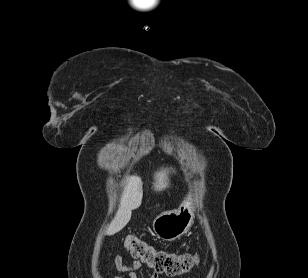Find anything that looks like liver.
Wrapping results in <instances>:
<instances>
[{
  "mask_svg": "<svg viewBox=\"0 0 308 278\" xmlns=\"http://www.w3.org/2000/svg\"><path fill=\"white\" fill-rule=\"evenodd\" d=\"M168 175L169 170L166 168L155 173V182L153 183L155 191L160 192L169 186ZM142 197L141 178L138 176L127 177L118 211L106 230L107 235H114L127 225L131 219L132 210L141 205Z\"/></svg>",
  "mask_w": 308,
  "mask_h": 278,
  "instance_id": "6515ba94",
  "label": "liver"
}]
</instances>
